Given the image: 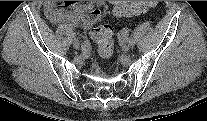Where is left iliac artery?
<instances>
[{
  "label": "left iliac artery",
  "mask_w": 207,
  "mask_h": 121,
  "mask_svg": "<svg viewBox=\"0 0 207 121\" xmlns=\"http://www.w3.org/2000/svg\"><path fill=\"white\" fill-rule=\"evenodd\" d=\"M128 33H129L128 27H123L122 30L118 33L120 44H125L129 40ZM129 42H133V39H130Z\"/></svg>",
  "instance_id": "left-iliac-artery-1"
}]
</instances>
